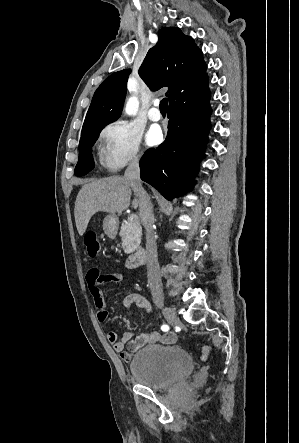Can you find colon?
<instances>
[{"label": "colon", "mask_w": 299, "mask_h": 443, "mask_svg": "<svg viewBox=\"0 0 299 443\" xmlns=\"http://www.w3.org/2000/svg\"><path fill=\"white\" fill-rule=\"evenodd\" d=\"M84 245L87 251V254L90 257H96L100 253V243L98 240V236L93 231H88L83 236ZM211 351L210 346L205 345L202 348V360H206L209 353Z\"/></svg>", "instance_id": "5ec220e1"}]
</instances>
